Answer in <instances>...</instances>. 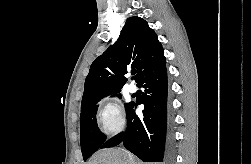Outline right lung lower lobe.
Returning a JSON list of instances; mask_svg holds the SVG:
<instances>
[{
	"mask_svg": "<svg viewBox=\"0 0 251 164\" xmlns=\"http://www.w3.org/2000/svg\"><path fill=\"white\" fill-rule=\"evenodd\" d=\"M138 86L144 89L139 103L144 104V118L139 119L131 102L126 109V133L105 141L100 148L114 147L123 142L127 150L144 162H169L173 153L170 116L167 113L166 65L147 73Z\"/></svg>",
	"mask_w": 251,
	"mask_h": 164,
	"instance_id": "obj_1",
	"label": "right lung lower lobe"
}]
</instances>
